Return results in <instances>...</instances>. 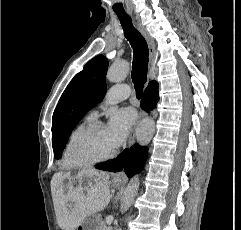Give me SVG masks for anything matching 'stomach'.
<instances>
[{
	"label": "stomach",
	"mask_w": 241,
	"mask_h": 230,
	"mask_svg": "<svg viewBox=\"0 0 241 230\" xmlns=\"http://www.w3.org/2000/svg\"><path fill=\"white\" fill-rule=\"evenodd\" d=\"M93 181V178L89 175H83L81 182L85 186L88 182ZM121 185V182L115 181L114 186L119 187ZM100 225L99 219L94 216L90 215L87 216L84 221L76 228V230H98Z\"/></svg>",
	"instance_id": "0dacf381"
}]
</instances>
